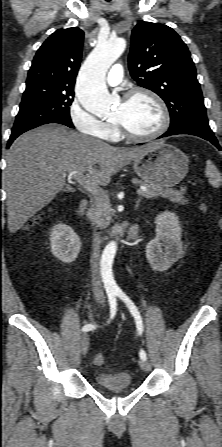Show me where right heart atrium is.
<instances>
[{
	"instance_id": "1",
	"label": "right heart atrium",
	"mask_w": 222,
	"mask_h": 447,
	"mask_svg": "<svg viewBox=\"0 0 222 447\" xmlns=\"http://www.w3.org/2000/svg\"><path fill=\"white\" fill-rule=\"evenodd\" d=\"M83 99L78 98L69 109V117L74 127L81 133L100 136L105 123L88 113L83 107Z\"/></svg>"
}]
</instances>
